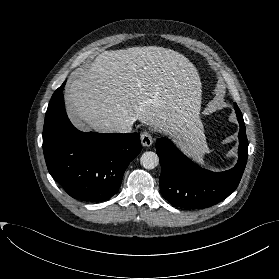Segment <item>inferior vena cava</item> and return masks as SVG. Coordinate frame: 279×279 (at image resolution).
<instances>
[{"instance_id": "602c4592", "label": "inferior vena cava", "mask_w": 279, "mask_h": 279, "mask_svg": "<svg viewBox=\"0 0 279 279\" xmlns=\"http://www.w3.org/2000/svg\"><path fill=\"white\" fill-rule=\"evenodd\" d=\"M132 130L131 126L124 127L119 130L120 133H129Z\"/></svg>"}]
</instances>
